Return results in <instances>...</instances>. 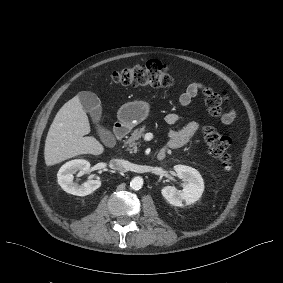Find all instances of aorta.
Instances as JSON below:
<instances>
[{
  "mask_svg": "<svg viewBox=\"0 0 283 283\" xmlns=\"http://www.w3.org/2000/svg\"><path fill=\"white\" fill-rule=\"evenodd\" d=\"M143 186V178L140 176L134 177L130 182V187L133 190H139Z\"/></svg>",
  "mask_w": 283,
  "mask_h": 283,
  "instance_id": "aorta-1",
  "label": "aorta"
}]
</instances>
